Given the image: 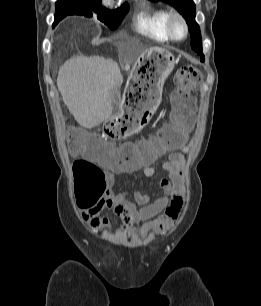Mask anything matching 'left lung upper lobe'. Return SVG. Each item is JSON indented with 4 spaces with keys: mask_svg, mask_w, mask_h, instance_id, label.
<instances>
[{
    "mask_svg": "<svg viewBox=\"0 0 261 306\" xmlns=\"http://www.w3.org/2000/svg\"><path fill=\"white\" fill-rule=\"evenodd\" d=\"M154 2L159 0H153ZM169 3L178 10L180 14L185 18L188 29L191 33V46L193 50L200 55L202 62L205 61L204 54L202 53V40L201 33L198 24L195 22L196 7L193 0H161Z\"/></svg>",
    "mask_w": 261,
    "mask_h": 306,
    "instance_id": "1",
    "label": "left lung upper lobe"
}]
</instances>
